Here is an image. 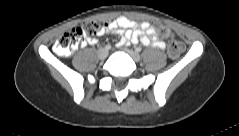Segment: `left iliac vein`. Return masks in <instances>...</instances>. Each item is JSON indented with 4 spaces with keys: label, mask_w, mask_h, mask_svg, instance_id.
<instances>
[{
    "label": "left iliac vein",
    "mask_w": 239,
    "mask_h": 136,
    "mask_svg": "<svg viewBox=\"0 0 239 136\" xmlns=\"http://www.w3.org/2000/svg\"><path fill=\"white\" fill-rule=\"evenodd\" d=\"M125 51L127 52V54L130 55V57H131L134 61L139 62V61L141 60V56H140L137 52H135V51H133V50H129V49H126Z\"/></svg>",
    "instance_id": "left-iliac-vein-1"
}]
</instances>
